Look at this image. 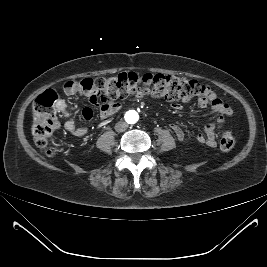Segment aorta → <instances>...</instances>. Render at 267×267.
I'll return each instance as SVG.
<instances>
[{
  "instance_id": "aorta-1",
  "label": "aorta",
  "mask_w": 267,
  "mask_h": 267,
  "mask_svg": "<svg viewBox=\"0 0 267 267\" xmlns=\"http://www.w3.org/2000/svg\"><path fill=\"white\" fill-rule=\"evenodd\" d=\"M125 117L131 124L136 123L138 121V113L136 111L127 112Z\"/></svg>"
}]
</instances>
